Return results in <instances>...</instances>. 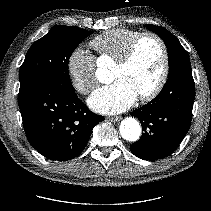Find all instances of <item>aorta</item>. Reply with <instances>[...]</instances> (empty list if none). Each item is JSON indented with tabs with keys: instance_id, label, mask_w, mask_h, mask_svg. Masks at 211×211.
<instances>
[{
	"instance_id": "aorta-1",
	"label": "aorta",
	"mask_w": 211,
	"mask_h": 211,
	"mask_svg": "<svg viewBox=\"0 0 211 211\" xmlns=\"http://www.w3.org/2000/svg\"><path fill=\"white\" fill-rule=\"evenodd\" d=\"M96 77L99 82L104 84H109L113 80L109 69L103 66L97 69ZM120 134L127 141H137L141 135V126L136 119L131 117L126 118L120 124Z\"/></svg>"
}]
</instances>
